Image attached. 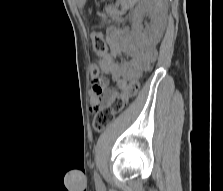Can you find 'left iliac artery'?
<instances>
[{
  "instance_id": "obj_1",
  "label": "left iliac artery",
  "mask_w": 223,
  "mask_h": 191,
  "mask_svg": "<svg viewBox=\"0 0 223 191\" xmlns=\"http://www.w3.org/2000/svg\"><path fill=\"white\" fill-rule=\"evenodd\" d=\"M94 177H95L96 184L98 186H101L102 182H101V179H100L99 175L97 174V172H94Z\"/></svg>"
}]
</instances>
